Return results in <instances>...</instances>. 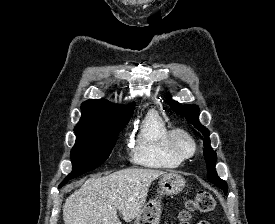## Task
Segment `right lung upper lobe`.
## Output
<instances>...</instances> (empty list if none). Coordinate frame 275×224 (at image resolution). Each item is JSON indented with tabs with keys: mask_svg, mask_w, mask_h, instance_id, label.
<instances>
[{
	"mask_svg": "<svg viewBox=\"0 0 275 224\" xmlns=\"http://www.w3.org/2000/svg\"><path fill=\"white\" fill-rule=\"evenodd\" d=\"M134 106H116L104 99H89L81 105L82 117L76 127L100 126L127 121Z\"/></svg>",
	"mask_w": 275,
	"mask_h": 224,
	"instance_id": "right-lung-upper-lobe-1",
	"label": "right lung upper lobe"
}]
</instances>
